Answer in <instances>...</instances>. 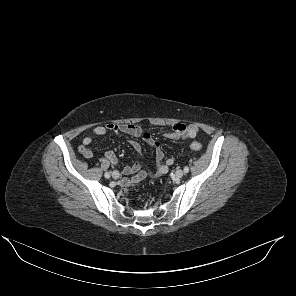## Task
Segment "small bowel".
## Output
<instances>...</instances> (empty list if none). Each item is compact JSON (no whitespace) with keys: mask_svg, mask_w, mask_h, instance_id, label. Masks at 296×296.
I'll use <instances>...</instances> for the list:
<instances>
[{"mask_svg":"<svg viewBox=\"0 0 296 296\" xmlns=\"http://www.w3.org/2000/svg\"><path fill=\"white\" fill-rule=\"evenodd\" d=\"M107 132H112L116 135L124 133L132 137H137L143 139L147 144L152 146L155 150L156 157V170L152 172L148 169H144L142 163L138 162L124 168V173L129 175H134L132 178H122L120 180L121 185L123 186H135L138 184L143 178L152 177L157 178L161 175H164L168 172V169L171 165L174 164L175 158L169 157L164 159V151L159 143V141L153 137V135L143 127L132 124V123H123V124H115L110 123L105 126H97L93 129L92 134L94 136H102ZM198 134V128L193 125H185L182 123H177L172 127V131L166 132L165 136L172 140H185L195 138ZM93 138L87 136L82 141V146L80 147V151L82 155L86 158H90L92 156V151L89 146L92 144ZM130 145L134 148V150L142 155L143 150L141 145L133 140H129ZM104 158L109 161L112 165H116L118 163V159L115 153L112 150H107L103 153Z\"/></svg>","mask_w":296,"mask_h":296,"instance_id":"c3829d8e","label":"small bowel"}]
</instances>
